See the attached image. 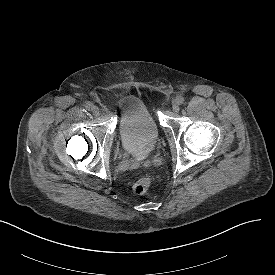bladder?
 <instances>
[{"instance_id":"obj_1","label":"bladder","mask_w":275,"mask_h":275,"mask_svg":"<svg viewBox=\"0 0 275 275\" xmlns=\"http://www.w3.org/2000/svg\"><path fill=\"white\" fill-rule=\"evenodd\" d=\"M119 135L126 152L143 159L154 149L159 130L145 102L134 95L120 100Z\"/></svg>"}]
</instances>
